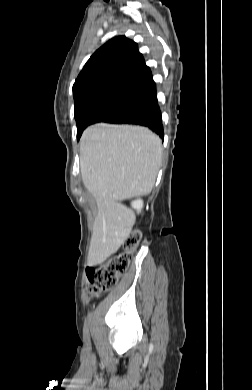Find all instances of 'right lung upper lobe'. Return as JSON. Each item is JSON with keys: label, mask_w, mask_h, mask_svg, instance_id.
Returning a JSON list of instances; mask_svg holds the SVG:
<instances>
[{"label": "right lung upper lobe", "mask_w": 252, "mask_h": 390, "mask_svg": "<svg viewBox=\"0 0 252 390\" xmlns=\"http://www.w3.org/2000/svg\"><path fill=\"white\" fill-rule=\"evenodd\" d=\"M155 89L137 43L125 36L115 37L90 57L78 75L73 85L74 110L98 99L137 101Z\"/></svg>", "instance_id": "1"}]
</instances>
